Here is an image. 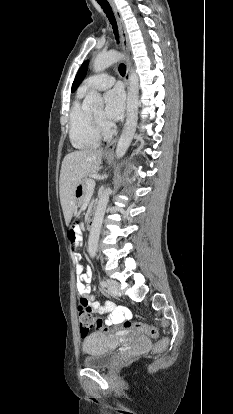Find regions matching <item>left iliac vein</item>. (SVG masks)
I'll return each instance as SVG.
<instances>
[{
    "mask_svg": "<svg viewBox=\"0 0 233 414\" xmlns=\"http://www.w3.org/2000/svg\"><path fill=\"white\" fill-rule=\"evenodd\" d=\"M108 290L111 294H113L115 296H120L121 295V290H120L119 283L114 281V280H109L108 281Z\"/></svg>",
    "mask_w": 233,
    "mask_h": 414,
    "instance_id": "left-iliac-vein-1",
    "label": "left iliac vein"
}]
</instances>
